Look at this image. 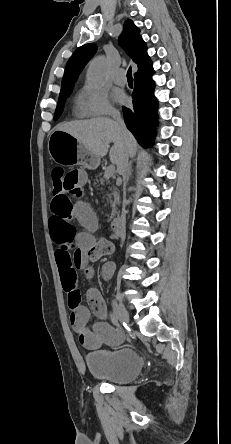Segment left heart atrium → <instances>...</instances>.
<instances>
[{"label":"left heart atrium","instance_id":"obj_1","mask_svg":"<svg viewBox=\"0 0 231 444\" xmlns=\"http://www.w3.org/2000/svg\"><path fill=\"white\" fill-rule=\"evenodd\" d=\"M114 97L115 100L121 104H125L127 102V97L121 92L116 93Z\"/></svg>","mask_w":231,"mask_h":444}]
</instances>
